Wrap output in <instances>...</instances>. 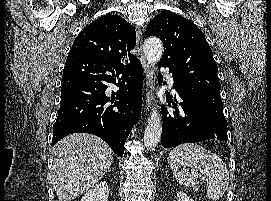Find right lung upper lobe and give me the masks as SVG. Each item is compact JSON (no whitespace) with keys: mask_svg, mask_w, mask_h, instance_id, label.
<instances>
[{"mask_svg":"<svg viewBox=\"0 0 271 201\" xmlns=\"http://www.w3.org/2000/svg\"><path fill=\"white\" fill-rule=\"evenodd\" d=\"M135 44L134 27L120 16L106 15L79 33L68 56L84 55L109 63L130 64L138 60L129 53ZM127 55L128 59L124 60Z\"/></svg>","mask_w":271,"mask_h":201,"instance_id":"obj_1","label":"right lung upper lobe"}]
</instances>
